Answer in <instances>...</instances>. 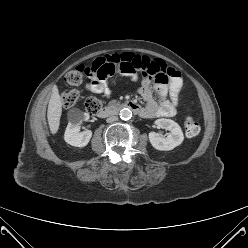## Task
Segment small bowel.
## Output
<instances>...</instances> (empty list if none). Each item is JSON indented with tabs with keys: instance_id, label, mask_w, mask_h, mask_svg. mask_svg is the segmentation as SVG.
Returning <instances> with one entry per match:
<instances>
[{
	"instance_id": "c3829d8e",
	"label": "small bowel",
	"mask_w": 248,
	"mask_h": 248,
	"mask_svg": "<svg viewBox=\"0 0 248 248\" xmlns=\"http://www.w3.org/2000/svg\"><path fill=\"white\" fill-rule=\"evenodd\" d=\"M116 62V70L130 74L137 79L136 72H143L146 77L140 81V95L145 101V108L140 114L146 118L172 117L176 113L182 89L180 74L164 61L138 55L133 52H123L109 56ZM155 80L157 100L151 91L152 81ZM86 89L93 93L103 94L106 98L111 96V90L105 78L89 76Z\"/></svg>"
}]
</instances>
